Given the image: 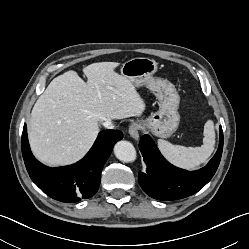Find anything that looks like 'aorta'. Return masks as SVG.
<instances>
[{"label": "aorta", "instance_id": "1", "mask_svg": "<svg viewBox=\"0 0 249 249\" xmlns=\"http://www.w3.org/2000/svg\"><path fill=\"white\" fill-rule=\"evenodd\" d=\"M115 156L122 162L129 163L136 159V150L132 143L128 141H119L114 146Z\"/></svg>", "mask_w": 249, "mask_h": 249}]
</instances>
